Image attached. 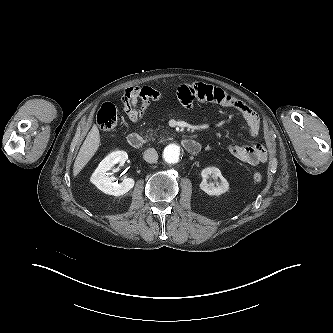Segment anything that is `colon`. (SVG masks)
<instances>
[{
    "mask_svg": "<svg viewBox=\"0 0 333 333\" xmlns=\"http://www.w3.org/2000/svg\"><path fill=\"white\" fill-rule=\"evenodd\" d=\"M96 121L98 127L105 133H111L115 130L118 122L116 107L106 102L97 112ZM253 181L259 183L262 181L263 176L261 173L256 172L253 174Z\"/></svg>",
    "mask_w": 333,
    "mask_h": 333,
    "instance_id": "1",
    "label": "colon"
}]
</instances>
